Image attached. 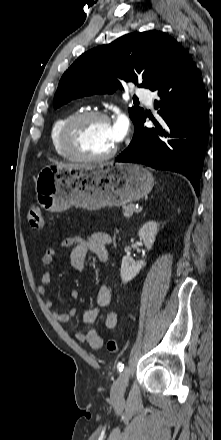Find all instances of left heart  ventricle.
Here are the masks:
<instances>
[{"instance_id":"obj_1","label":"left heart ventricle","mask_w":221,"mask_h":440,"mask_svg":"<svg viewBox=\"0 0 221 440\" xmlns=\"http://www.w3.org/2000/svg\"><path fill=\"white\" fill-rule=\"evenodd\" d=\"M75 144L87 155L107 153L116 144L111 123L99 118L83 121L75 132Z\"/></svg>"}]
</instances>
